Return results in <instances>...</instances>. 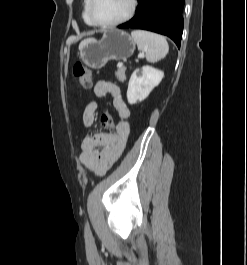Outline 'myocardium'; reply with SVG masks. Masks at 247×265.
<instances>
[{
	"label": "myocardium",
	"mask_w": 247,
	"mask_h": 265,
	"mask_svg": "<svg viewBox=\"0 0 247 265\" xmlns=\"http://www.w3.org/2000/svg\"><path fill=\"white\" fill-rule=\"evenodd\" d=\"M95 0H89L88 4V16L93 26L103 28V29H110L114 28L120 25H123L127 22H129L134 15L136 14L137 8H138V0H130V8L126 15L121 17L120 19L110 22V23H101L98 22L94 15H93V6H94Z\"/></svg>",
	"instance_id": "obj_1"
}]
</instances>
